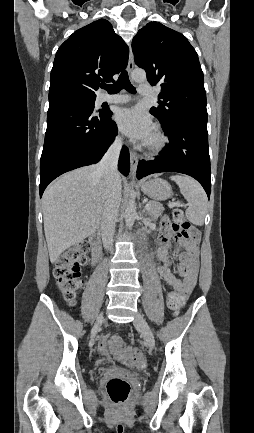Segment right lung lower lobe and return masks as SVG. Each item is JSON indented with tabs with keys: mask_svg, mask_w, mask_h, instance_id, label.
I'll list each match as a JSON object with an SVG mask.
<instances>
[{
	"mask_svg": "<svg viewBox=\"0 0 254 433\" xmlns=\"http://www.w3.org/2000/svg\"><path fill=\"white\" fill-rule=\"evenodd\" d=\"M111 116L108 109L95 112L90 105L73 99L49 103L40 161V197L59 175L100 161L117 135ZM118 168L124 176L129 174V151L125 146Z\"/></svg>",
	"mask_w": 254,
	"mask_h": 433,
	"instance_id": "98d812e1",
	"label": "right lung lower lobe"
}]
</instances>
